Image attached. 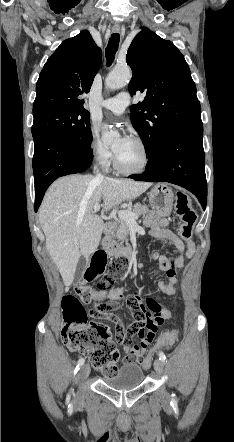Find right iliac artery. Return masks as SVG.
Instances as JSON below:
<instances>
[{
	"label": "right iliac artery",
	"mask_w": 234,
	"mask_h": 442,
	"mask_svg": "<svg viewBox=\"0 0 234 442\" xmlns=\"http://www.w3.org/2000/svg\"><path fill=\"white\" fill-rule=\"evenodd\" d=\"M84 362H85V360H84V358H80L79 360H78V364H77V366H76V368H75V373L79 370V368L84 364Z\"/></svg>",
	"instance_id": "82829eb1"
}]
</instances>
